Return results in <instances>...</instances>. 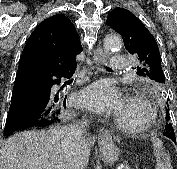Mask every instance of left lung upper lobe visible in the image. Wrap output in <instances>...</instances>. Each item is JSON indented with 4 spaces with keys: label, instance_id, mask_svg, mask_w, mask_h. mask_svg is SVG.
Masks as SVG:
<instances>
[{
    "label": "left lung upper lobe",
    "instance_id": "left-lung-upper-lobe-1",
    "mask_svg": "<svg viewBox=\"0 0 177 169\" xmlns=\"http://www.w3.org/2000/svg\"><path fill=\"white\" fill-rule=\"evenodd\" d=\"M106 24L122 35L125 48L139 60L137 75L142 77L156 94L164 93L165 77L158 45L144 24L131 12L122 8L113 9L108 15ZM166 118L169 119L168 110ZM164 131L175 135L171 123H166Z\"/></svg>",
    "mask_w": 177,
    "mask_h": 169
}]
</instances>
